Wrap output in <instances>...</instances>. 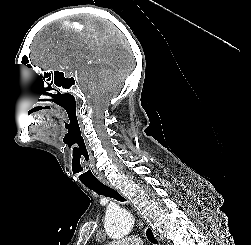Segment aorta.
<instances>
[{
    "label": "aorta",
    "instance_id": "762f6f07",
    "mask_svg": "<svg viewBox=\"0 0 251 245\" xmlns=\"http://www.w3.org/2000/svg\"><path fill=\"white\" fill-rule=\"evenodd\" d=\"M132 215L123 209L109 211L105 218V230L112 239H121L127 236L133 229Z\"/></svg>",
    "mask_w": 251,
    "mask_h": 245
}]
</instances>
